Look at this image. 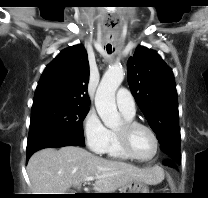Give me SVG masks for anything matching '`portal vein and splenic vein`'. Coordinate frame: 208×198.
Wrapping results in <instances>:
<instances>
[{"label": "portal vein and splenic vein", "mask_w": 208, "mask_h": 198, "mask_svg": "<svg viewBox=\"0 0 208 198\" xmlns=\"http://www.w3.org/2000/svg\"><path fill=\"white\" fill-rule=\"evenodd\" d=\"M96 178L95 177H87V178H85L84 179V181L86 182V181H93V180H95Z\"/></svg>", "instance_id": "1"}]
</instances>
